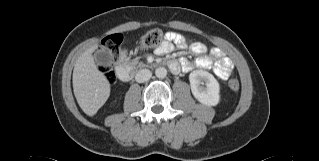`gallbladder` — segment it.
Returning <instances> with one entry per match:
<instances>
[{"instance_id":"gallbladder-1","label":"gallbladder","mask_w":319,"mask_h":161,"mask_svg":"<svg viewBox=\"0 0 319 161\" xmlns=\"http://www.w3.org/2000/svg\"><path fill=\"white\" fill-rule=\"evenodd\" d=\"M95 62L100 66H108L111 62V53L107 50H99L94 55Z\"/></svg>"}]
</instances>
